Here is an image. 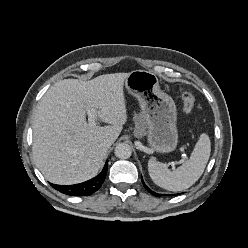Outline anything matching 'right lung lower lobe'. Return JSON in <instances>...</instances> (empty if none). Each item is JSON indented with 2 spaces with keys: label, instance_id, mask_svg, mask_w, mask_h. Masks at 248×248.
Instances as JSON below:
<instances>
[{
  "label": "right lung lower lobe",
  "instance_id": "obj_1",
  "mask_svg": "<svg viewBox=\"0 0 248 248\" xmlns=\"http://www.w3.org/2000/svg\"><path fill=\"white\" fill-rule=\"evenodd\" d=\"M108 161L101 173L91 180L75 185H56L51 184L56 190L71 196H88L97 191L105 180L107 174Z\"/></svg>",
  "mask_w": 248,
  "mask_h": 248
}]
</instances>
